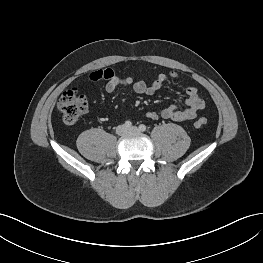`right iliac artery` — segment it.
<instances>
[{
	"instance_id": "right-iliac-artery-1",
	"label": "right iliac artery",
	"mask_w": 263,
	"mask_h": 263,
	"mask_svg": "<svg viewBox=\"0 0 263 263\" xmlns=\"http://www.w3.org/2000/svg\"><path fill=\"white\" fill-rule=\"evenodd\" d=\"M124 125L126 126V128H131V127H132L131 121H126V122L124 123Z\"/></svg>"
}]
</instances>
